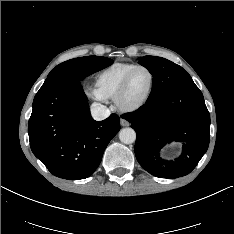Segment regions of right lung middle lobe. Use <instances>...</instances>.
Masks as SVG:
<instances>
[{"label":"right lung middle lobe","instance_id":"obj_1","mask_svg":"<svg viewBox=\"0 0 234 234\" xmlns=\"http://www.w3.org/2000/svg\"><path fill=\"white\" fill-rule=\"evenodd\" d=\"M112 63V59L99 56L75 58L57 65L48 77L58 73L71 72L77 80L81 81L84 77L102 70Z\"/></svg>","mask_w":234,"mask_h":234}]
</instances>
